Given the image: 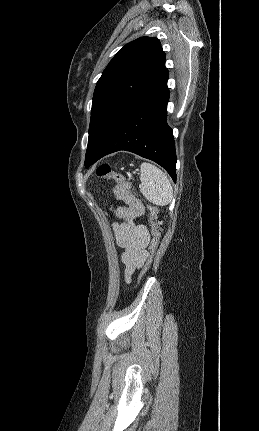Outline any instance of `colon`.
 <instances>
[{
    "label": "colon",
    "mask_w": 259,
    "mask_h": 431,
    "mask_svg": "<svg viewBox=\"0 0 259 431\" xmlns=\"http://www.w3.org/2000/svg\"><path fill=\"white\" fill-rule=\"evenodd\" d=\"M97 175L100 178L111 179L117 183L116 187L114 188V193L118 199L125 202L122 205L113 207V212L114 214H117V218H124L125 220H139L142 215L148 211V208L133 194L130 182L123 175L115 172L110 165H100L97 168ZM157 218V208L154 206H149V223L152 237L149 245V259L139 276V281L142 280L149 270L153 257L158 249L160 232Z\"/></svg>",
    "instance_id": "5ec220e1"
}]
</instances>
